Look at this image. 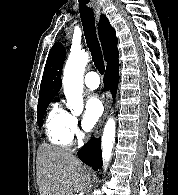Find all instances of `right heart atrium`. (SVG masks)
Masks as SVG:
<instances>
[{"label": "right heart atrium", "mask_w": 178, "mask_h": 195, "mask_svg": "<svg viewBox=\"0 0 178 195\" xmlns=\"http://www.w3.org/2000/svg\"><path fill=\"white\" fill-rule=\"evenodd\" d=\"M69 130L73 139L80 140L82 138V132L79 129L78 120L72 115L70 118Z\"/></svg>", "instance_id": "1"}]
</instances>
